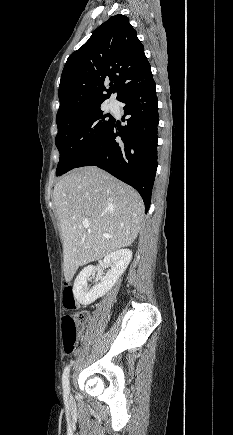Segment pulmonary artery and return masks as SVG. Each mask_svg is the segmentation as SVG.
<instances>
[{
	"label": "pulmonary artery",
	"mask_w": 233,
	"mask_h": 435,
	"mask_svg": "<svg viewBox=\"0 0 233 435\" xmlns=\"http://www.w3.org/2000/svg\"><path fill=\"white\" fill-rule=\"evenodd\" d=\"M108 107H109V108H113V107H114V103H113V101H110V103L108 104Z\"/></svg>",
	"instance_id": "e3ab8cb5"
}]
</instances>
